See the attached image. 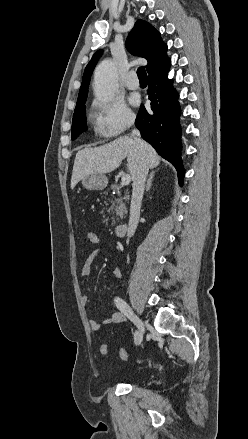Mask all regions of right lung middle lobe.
Segmentation results:
<instances>
[{"mask_svg": "<svg viewBox=\"0 0 248 439\" xmlns=\"http://www.w3.org/2000/svg\"><path fill=\"white\" fill-rule=\"evenodd\" d=\"M87 130L86 112L83 104L79 109L74 111L71 129V138L75 140L82 132Z\"/></svg>", "mask_w": 248, "mask_h": 439, "instance_id": "right-lung-middle-lobe-1", "label": "right lung middle lobe"}]
</instances>
